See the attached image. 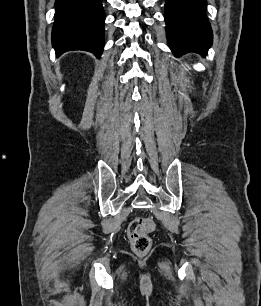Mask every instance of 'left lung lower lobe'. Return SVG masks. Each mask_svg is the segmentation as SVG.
I'll list each match as a JSON object with an SVG mask.
<instances>
[{"label": "left lung lower lobe", "mask_w": 261, "mask_h": 306, "mask_svg": "<svg viewBox=\"0 0 261 306\" xmlns=\"http://www.w3.org/2000/svg\"><path fill=\"white\" fill-rule=\"evenodd\" d=\"M205 8L206 0H166L168 45L176 56L187 52L203 56L208 53L213 35Z\"/></svg>", "instance_id": "left-lung-lower-lobe-1"}]
</instances>
